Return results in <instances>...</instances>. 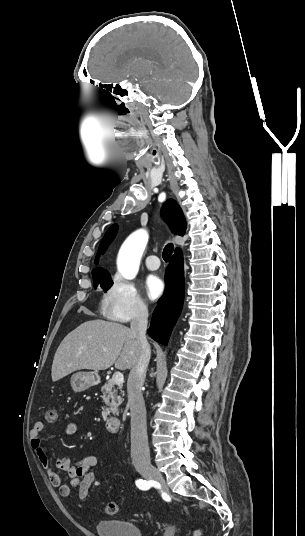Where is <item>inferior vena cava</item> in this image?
Wrapping results in <instances>:
<instances>
[{
	"instance_id": "obj_1",
	"label": "inferior vena cava",
	"mask_w": 305,
	"mask_h": 536,
	"mask_svg": "<svg viewBox=\"0 0 305 536\" xmlns=\"http://www.w3.org/2000/svg\"><path fill=\"white\" fill-rule=\"evenodd\" d=\"M148 324L147 306H138L135 316L132 318L131 332L135 334L141 344V354L137 366L132 368L128 382V404L131 412V458H137L141 462H149L150 452L148 448L146 408L141 394L146 370L148 368L151 352L146 340Z\"/></svg>"
}]
</instances>
